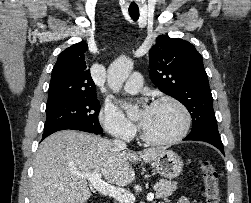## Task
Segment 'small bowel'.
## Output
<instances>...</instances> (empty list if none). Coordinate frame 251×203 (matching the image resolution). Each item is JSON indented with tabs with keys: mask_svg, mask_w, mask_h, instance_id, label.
Masks as SVG:
<instances>
[{
	"mask_svg": "<svg viewBox=\"0 0 251 203\" xmlns=\"http://www.w3.org/2000/svg\"><path fill=\"white\" fill-rule=\"evenodd\" d=\"M176 203H191V201L186 197H182Z\"/></svg>",
	"mask_w": 251,
	"mask_h": 203,
	"instance_id": "c3829d8e",
	"label": "small bowel"
}]
</instances>
